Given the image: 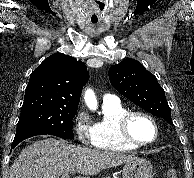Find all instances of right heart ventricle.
<instances>
[{"label": "right heart ventricle", "mask_w": 194, "mask_h": 178, "mask_svg": "<svg viewBox=\"0 0 194 178\" xmlns=\"http://www.w3.org/2000/svg\"><path fill=\"white\" fill-rule=\"evenodd\" d=\"M127 111L118 100L103 101V116L93 124L94 147L111 151H130L137 148L122 141L118 134L117 121Z\"/></svg>", "instance_id": "1"}]
</instances>
